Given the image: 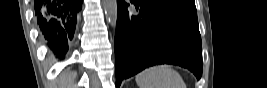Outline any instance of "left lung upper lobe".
<instances>
[{
  "mask_svg": "<svg viewBox=\"0 0 267 88\" xmlns=\"http://www.w3.org/2000/svg\"><path fill=\"white\" fill-rule=\"evenodd\" d=\"M148 6L182 11L197 16L194 0H140Z\"/></svg>",
  "mask_w": 267,
  "mask_h": 88,
  "instance_id": "1",
  "label": "left lung upper lobe"
}]
</instances>
